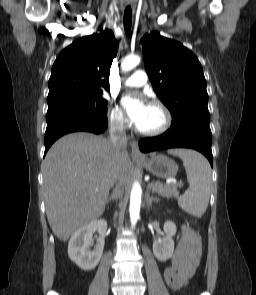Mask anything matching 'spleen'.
<instances>
[{
    "instance_id": "obj_1",
    "label": "spleen",
    "mask_w": 256,
    "mask_h": 295,
    "mask_svg": "<svg viewBox=\"0 0 256 295\" xmlns=\"http://www.w3.org/2000/svg\"><path fill=\"white\" fill-rule=\"evenodd\" d=\"M169 153L182 159L189 183V189L178 200L179 206L195 217H202L208 207L212 184L209 162L194 150L176 149Z\"/></svg>"
}]
</instances>
